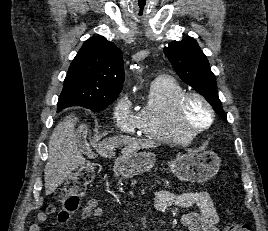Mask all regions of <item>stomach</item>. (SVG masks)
Segmentation results:
<instances>
[{
    "label": "stomach",
    "mask_w": 268,
    "mask_h": 231,
    "mask_svg": "<svg viewBox=\"0 0 268 231\" xmlns=\"http://www.w3.org/2000/svg\"><path fill=\"white\" fill-rule=\"evenodd\" d=\"M154 164L155 155L152 152L122 153L115 161V169L120 176L131 178L149 172ZM168 166L178 179L201 183L217 174L220 159L212 151H188L171 160Z\"/></svg>",
    "instance_id": "obj_1"
}]
</instances>
